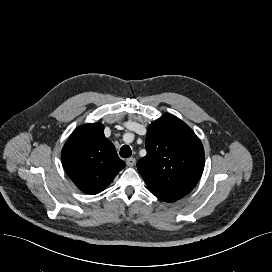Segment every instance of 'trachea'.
<instances>
[{
    "instance_id": "obj_1",
    "label": "trachea",
    "mask_w": 272,
    "mask_h": 272,
    "mask_svg": "<svg viewBox=\"0 0 272 272\" xmlns=\"http://www.w3.org/2000/svg\"><path fill=\"white\" fill-rule=\"evenodd\" d=\"M132 154L131 148L128 145H123L120 149V156L122 158H129Z\"/></svg>"
}]
</instances>
